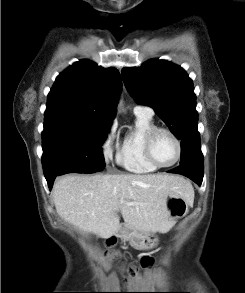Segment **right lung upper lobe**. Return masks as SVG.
Masks as SVG:
<instances>
[{"label": "right lung upper lobe", "instance_id": "1", "mask_svg": "<svg viewBox=\"0 0 245 293\" xmlns=\"http://www.w3.org/2000/svg\"><path fill=\"white\" fill-rule=\"evenodd\" d=\"M121 89L117 69L90 60L63 71L48 94L45 118L65 117L110 125Z\"/></svg>", "mask_w": 245, "mask_h": 293}]
</instances>
